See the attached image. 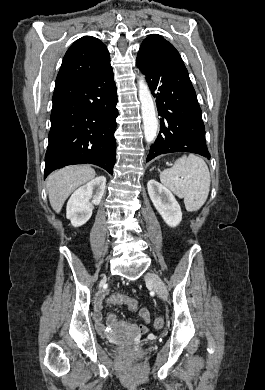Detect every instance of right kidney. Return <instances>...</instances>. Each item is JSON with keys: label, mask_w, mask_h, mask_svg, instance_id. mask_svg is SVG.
Returning <instances> with one entry per match:
<instances>
[{"label": "right kidney", "mask_w": 265, "mask_h": 390, "mask_svg": "<svg viewBox=\"0 0 265 390\" xmlns=\"http://www.w3.org/2000/svg\"><path fill=\"white\" fill-rule=\"evenodd\" d=\"M105 186L106 178L99 176L71 195L67 203L66 217L71 221L72 226H82L90 219L93 208L89 200L92 198V203L98 205L103 197Z\"/></svg>", "instance_id": "1"}]
</instances>
